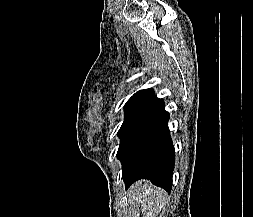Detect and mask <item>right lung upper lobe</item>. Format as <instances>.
Listing matches in <instances>:
<instances>
[{
    "label": "right lung upper lobe",
    "instance_id": "1",
    "mask_svg": "<svg viewBox=\"0 0 253 217\" xmlns=\"http://www.w3.org/2000/svg\"><path fill=\"white\" fill-rule=\"evenodd\" d=\"M158 98L155 96L154 91L149 88V89H144L141 91H138L135 93L127 103L131 102H148V103H153L156 101Z\"/></svg>",
    "mask_w": 253,
    "mask_h": 217
}]
</instances>
